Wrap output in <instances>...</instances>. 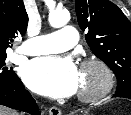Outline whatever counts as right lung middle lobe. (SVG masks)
Instances as JSON below:
<instances>
[{
    "mask_svg": "<svg viewBox=\"0 0 131 115\" xmlns=\"http://www.w3.org/2000/svg\"><path fill=\"white\" fill-rule=\"evenodd\" d=\"M6 57V53L0 54V83H10L18 77L13 68L6 66Z\"/></svg>",
    "mask_w": 131,
    "mask_h": 115,
    "instance_id": "1",
    "label": "right lung middle lobe"
}]
</instances>
